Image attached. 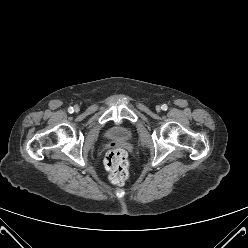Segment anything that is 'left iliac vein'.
Masks as SVG:
<instances>
[{
	"label": "left iliac vein",
	"mask_w": 248,
	"mask_h": 248,
	"mask_svg": "<svg viewBox=\"0 0 248 248\" xmlns=\"http://www.w3.org/2000/svg\"><path fill=\"white\" fill-rule=\"evenodd\" d=\"M156 110L159 112L161 110L160 106H156Z\"/></svg>",
	"instance_id": "obj_1"
}]
</instances>
